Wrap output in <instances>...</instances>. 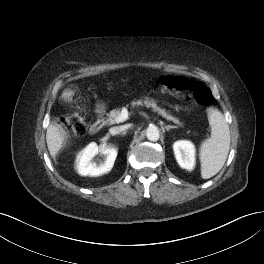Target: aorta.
I'll list each match as a JSON object with an SVG mask.
<instances>
[{
  "label": "aorta",
  "mask_w": 264,
  "mask_h": 264,
  "mask_svg": "<svg viewBox=\"0 0 264 264\" xmlns=\"http://www.w3.org/2000/svg\"><path fill=\"white\" fill-rule=\"evenodd\" d=\"M146 136L147 139L150 141H157L160 137V133L157 126L150 125L146 130Z\"/></svg>",
  "instance_id": "obj_1"
}]
</instances>
